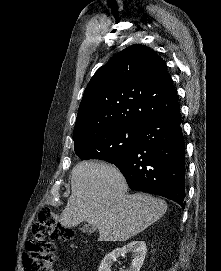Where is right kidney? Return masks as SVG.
<instances>
[{"instance_id": "obj_1", "label": "right kidney", "mask_w": 221, "mask_h": 271, "mask_svg": "<svg viewBox=\"0 0 221 271\" xmlns=\"http://www.w3.org/2000/svg\"><path fill=\"white\" fill-rule=\"evenodd\" d=\"M146 251L147 245L145 241H135V239H133V241L126 243L123 247H116V249H113L110 253H106L98 267V271H112L111 265H113L114 261H118L117 257L126 255V253H130L132 257L131 265L129 269H121V271H140Z\"/></svg>"}]
</instances>
